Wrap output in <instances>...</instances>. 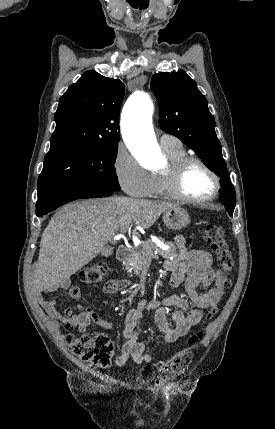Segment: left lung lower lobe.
Wrapping results in <instances>:
<instances>
[{"instance_id":"1","label":"left lung lower lobe","mask_w":275,"mask_h":429,"mask_svg":"<svg viewBox=\"0 0 275 429\" xmlns=\"http://www.w3.org/2000/svg\"><path fill=\"white\" fill-rule=\"evenodd\" d=\"M221 194H222V196L220 197V199H221L222 197H225V194H226L225 189H222V190H221Z\"/></svg>"}]
</instances>
